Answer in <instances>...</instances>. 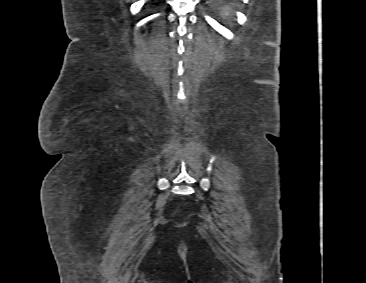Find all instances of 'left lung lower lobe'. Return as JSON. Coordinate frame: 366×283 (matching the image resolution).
I'll return each instance as SVG.
<instances>
[{"instance_id":"1","label":"left lung lower lobe","mask_w":366,"mask_h":283,"mask_svg":"<svg viewBox=\"0 0 366 283\" xmlns=\"http://www.w3.org/2000/svg\"><path fill=\"white\" fill-rule=\"evenodd\" d=\"M216 7L223 9V10H229L234 6V2L237 0H211Z\"/></svg>"}]
</instances>
